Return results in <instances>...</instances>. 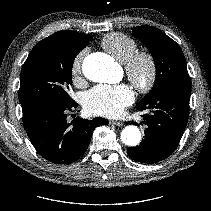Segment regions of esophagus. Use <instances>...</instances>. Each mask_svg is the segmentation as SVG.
Segmentation results:
<instances>
[{
	"mask_svg": "<svg viewBox=\"0 0 211 211\" xmlns=\"http://www.w3.org/2000/svg\"><path fill=\"white\" fill-rule=\"evenodd\" d=\"M110 124L115 125V126H122V125H123L122 122L116 121V120H111V121H110Z\"/></svg>",
	"mask_w": 211,
	"mask_h": 211,
	"instance_id": "esophagus-1",
	"label": "esophagus"
}]
</instances>
